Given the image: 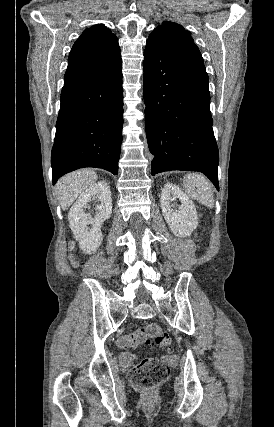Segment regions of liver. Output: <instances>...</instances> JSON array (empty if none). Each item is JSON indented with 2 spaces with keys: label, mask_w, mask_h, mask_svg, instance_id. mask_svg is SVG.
<instances>
[{
  "label": "liver",
  "mask_w": 274,
  "mask_h": 427,
  "mask_svg": "<svg viewBox=\"0 0 274 427\" xmlns=\"http://www.w3.org/2000/svg\"><path fill=\"white\" fill-rule=\"evenodd\" d=\"M96 180V172L89 170V168L71 172V174L60 178L56 184V192L62 210H68L79 194L87 190L88 186L94 184Z\"/></svg>",
  "instance_id": "obj_1"
}]
</instances>
